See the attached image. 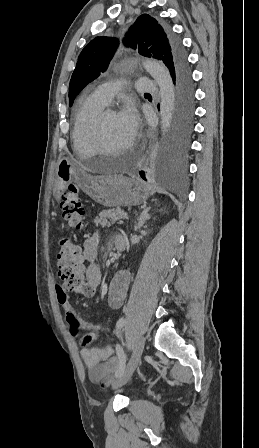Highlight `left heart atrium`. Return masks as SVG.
Returning a JSON list of instances; mask_svg holds the SVG:
<instances>
[{
	"instance_id": "left-heart-atrium-1",
	"label": "left heart atrium",
	"mask_w": 259,
	"mask_h": 448,
	"mask_svg": "<svg viewBox=\"0 0 259 448\" xmlns=\"http://www.w3.org/2000/svg\"><path fill=\"white\" fill-rule=\"evenodd\" d=\"M118 118L127 129L131 138L136 137L139 130L140 118L135 107L130 103L126 104L118 113Z\"/></svg>"
}]
</instances>
